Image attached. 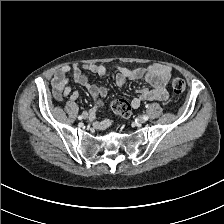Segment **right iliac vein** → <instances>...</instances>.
I'll use <instances>...</instances> for the list:
<instances>
[{"label":"right iliac vein","mask_w":224,"mask_h":224,"mask_svg":"<svg viewBox=\"0 0 224 224\" xmlns=\"http://www.w3.org/2000/svg\"><path fill=\"white\" fill-rule=\"evenodd\" d=\"M83 118H84V119H87V118H88V113H87V112H84V113H83Z\"/></svg>","instance_id":"63e3f726"}]
</instances>
